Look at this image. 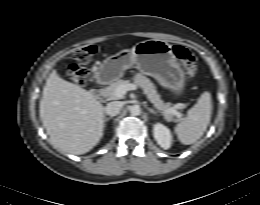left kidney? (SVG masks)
Masks as SVG:
<instances>
[{
	"label": "left kidney",
	"instance_id": "5707ae66",
	"mask_svg": "<svg viewBox=\"0 0 260 205\" xmlns=\"http://www.w3.org/2000/svg\"><path fill=\"white\" fill-rule=\"evenodd\" d=\"M153 135L157 143L164 149H169L172 143L170 130L164 125L157 123L153 127Z\"/></svg>",
	"mask_w": 260,
	"mask_h": 205
}]
</instances>
